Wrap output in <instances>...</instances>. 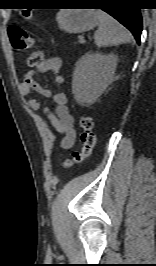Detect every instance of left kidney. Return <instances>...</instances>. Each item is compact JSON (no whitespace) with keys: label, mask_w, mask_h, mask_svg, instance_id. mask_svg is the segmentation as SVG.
<instances>
[{"label":"left kidney","mask_w":156,"mask_h":266,"mask_svg":"<svg viewBox=\"0 0 156 266\" xmlns=\"http://www.w3.org/2000/svg\"><path fill=\"white\" fill-rule=\"evenodd\" d=\"M114 54L86 53L76 63L72 92L77 103H94L111 83L116 66Z\"/></svg>","instance_id":"1"}]
</instances>
